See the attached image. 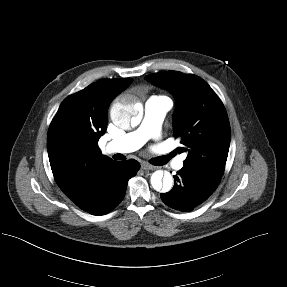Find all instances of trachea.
Masks as SVG:
<instances>
[{
	"instance_id": "3493384b",
	"label": "trachea",
	"mask_w": 287,
	"mask_h": 287,
	"mask_svg": "<svg viewBox=\"0 0 287 287\" xmlns=\"http://www.w3.org/2000/svg\"><path fill=\"white\" fill-rule=\"evenodd\" d=\"M172 157H173V154H169V155L163 156V157L154 158L151 160V163L153 165H163V164L167 163Z\"/></svg>"
}]
</instances>
